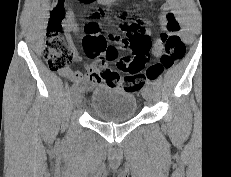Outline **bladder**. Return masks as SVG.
Segmentation results:
<instances>
[{
  "instance_id": "bladder-1",
  "label": "bladder",
  "mask_w": 231,
  "mask_h": 177,
  "mask_svg": "<svg viewBox=\"0 0 231 177\" xmlns=\"http://www.w3.org/2000/svg\"><path fill=\"white\" fill-rule=\"evenodd\" d=\"M90 108L99 119L108 122L126 121L137 113V99L132 92L114 86L97 87L92 95Z\"/></svg>"
}]
</instances>
